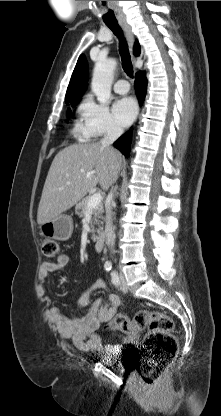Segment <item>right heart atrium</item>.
<instances>
[{"label":"right heart atrium","mask_w":221,"mask_h":416,"mask_svg":"<svg viewBox=\"0 0 221 416\" xmlns=\"http://www.w3.org/2000/svg\"><path fill=\"white\" fill-rule=\"evenodd\" d=\"M79 134L87 139L101 136H119L122 129L109 108L87 95L79 106Z\"/></svg>","instance_id":"right-heart-atrium-1"}]
</instances>
